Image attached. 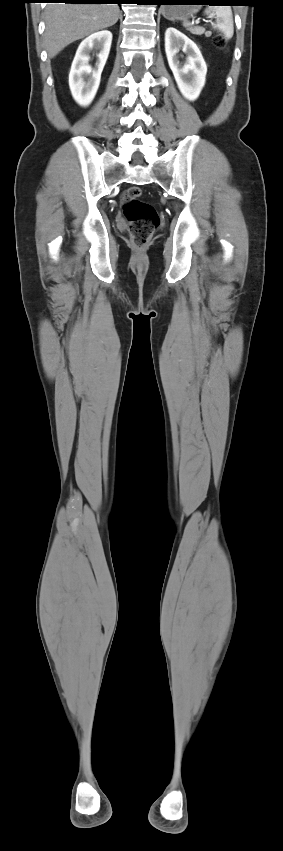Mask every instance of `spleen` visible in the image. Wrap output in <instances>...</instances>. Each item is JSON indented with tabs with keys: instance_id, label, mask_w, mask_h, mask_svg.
<instances>
[{
	"instance_id": "3e777b00",
	"label": "spleen",
	"mask_w": 283,
	"mask_h": 851,
	"mask_svg": "<svg viewBox=\"0 0 283 851\" xmlns=\"http://www.w3.org/2000/svg\"><path fill=\"white\" fill-rule=\"evenodd\" d=\"M205 13L209 16L216 17V23L213 24V28L218 29L224 34L225 39L232 38L234 34V25H233V14L230 7H222V6H214L208 7ZM189 22H184L183 26L187 28L190 27Z\"/></svg>"
}]
</instances>
